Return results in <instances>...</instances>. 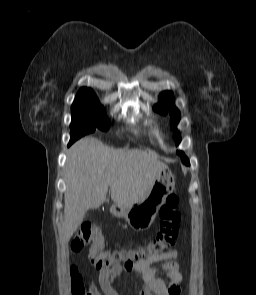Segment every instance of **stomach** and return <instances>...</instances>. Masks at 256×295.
<instances>
[{"label": "stomach", "mask_w": 256, "mask_h": 295, "mask_svg": "<svg viewBox=\"0 0 256 295\" xmlns=\"http://www.w3.org/2000/svg\"><path fill=\"white\" fill-rule=\"evenodd\" d=\"M174 188V176L166 166L141 200L127 206L114 204L110 212L117 218H124L132 229L146 230L153 224L159 209Z\"/></svg>", "instance_id": "0dacf381"}]
</instances>
